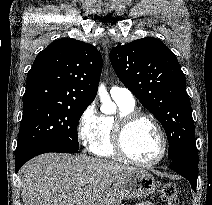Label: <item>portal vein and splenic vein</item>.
I'll return each mask as SVG.
<instances>
[{
    "instance_id": "18ae733b",
    "label": "portal vein and splenic vein",
    "mask_w": 212,
    "mask_h": 205,
    "mask_svg": "<svg viewBox=\"0 0 212 205\" xmlns=\"http://www.w3.org/2000/svg\"><path fill=\"white\" fill-rule=\"evenodd\" d=\"M87 183L86 182H81L80 185L81 186H85Z\"/></svg>"
}]
</instances>
